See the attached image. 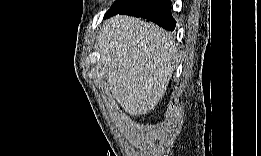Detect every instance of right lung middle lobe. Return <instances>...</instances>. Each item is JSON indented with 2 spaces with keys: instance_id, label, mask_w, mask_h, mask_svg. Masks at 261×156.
I'll return each instance as SVG.
<instances>
[{
  "instance_id": "obj_1",
  "label": "right lung middle lobe",
  "mask_w": 261,
  "mask_h": 156,
  "mask_svg": "<svg viewBox=\"0 0 261 156\" xmlns=\"http://www.w3.org/2000/svg\"><path fill=\"white\" fill-rule=\"evenodd\" d=\"M133 0H116V2L111 6L109 11L106 13L104 18H108L128 6Z\"/></svg>"
}]
</instances>
